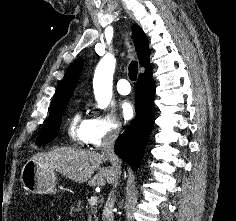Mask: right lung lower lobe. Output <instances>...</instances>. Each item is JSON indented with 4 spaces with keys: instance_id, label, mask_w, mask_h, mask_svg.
<instances>
[{
    "instance_id": "obj_1",
    "label": "right lung lower lobe",
    "mask_w": 236,
    "mask_h": 221,
    "mask_svg": "<svg viewBox=\"0 0 236 221\" xmlns=\"http://www.w3.org/2000/svg\"><path fill=\"white\" fill-rule=\"evenodd\" d=\"M155 84L152 70L139 75L135 84L136 117L115 143V151L136 170L141 161L154 122Z\"/></svg>"
}]
</instances>
